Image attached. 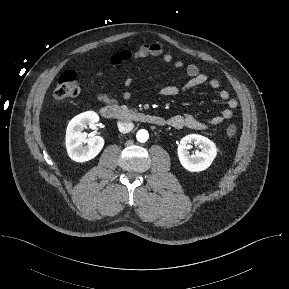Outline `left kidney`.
<instances>
[{
    "instance_id": "left-kidney-1",
    "label": "left kidney",
    "mask_w": 289,
    "mask_h": 289,
    "mask_svg": "<svg viewBox=\"0 0 289 289\" xmlns=\"http://www.w3.org/2000/svg\"><path fill=\"white\" fill-rule=\"evenodd\" d=\"M190 143L199 145L201 151L191 155L188 151ZM177 151L181 165L190 172L207 169L217 155L216 145L210 139L197 134L185 136L180 141Z\"/></svg>"
}]
</instances>
